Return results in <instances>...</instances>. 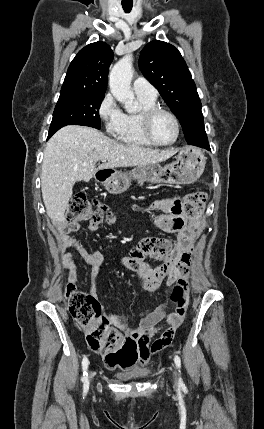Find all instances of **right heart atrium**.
I'll return each instance as SVG.
<instances>
[{
	"label": "right heart atrium",
	"mask_w": 264,
	"mask_h": 429,
	"mask_svg": "<svg viewBox=\"0 0 264 429\" xmlns=\"http://www.w3.org/2000/svg\"><path fill=\"white\" fill-rule=\"evenodd\" d=\"M97 113L107 133L115 134L120 127L123 112L111 93L103 96L98 105Z\"/></svg>",
	"instance_id": "d8ad5b80"
}]
</instances>
